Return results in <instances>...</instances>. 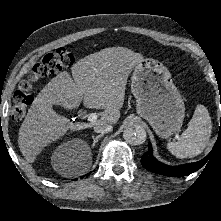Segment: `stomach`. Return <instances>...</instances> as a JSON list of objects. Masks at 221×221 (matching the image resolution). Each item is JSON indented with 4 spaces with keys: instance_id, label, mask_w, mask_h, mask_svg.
<instances>
[{
    "instance_id": "1",
    "label": "stomach",
    "mask_w": 221,
    "mask_h": 221,
    "mask_svg": "<svg viewBox=\"0 0 221 221\" xmlns=\"http://www.w3.org/2000/svg\"><path fill=\"white\" fill-rule=\"evenodd\" d=\"M131 91L137 113L159 137L169 138L180 130L185 105L169 70L161 62L146 58L138 63L131 77Z\"/></svg>"
}]
</instances>
